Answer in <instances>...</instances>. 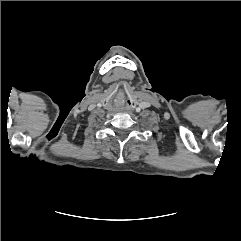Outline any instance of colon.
Segmentation results:
<instances>
[{"mask_svg": "<svg viewBox=\"0 0 241 241\" xmlns=\"http://www.w3.org/2000/svg\"><path fill=\"white\" fill-rule=\"evenodd\" d=\"M55 136H56L55 132L53 130H49V132L46 135V139L48 141H51L55 138Z\"/></svg>", "mask_w": 241, "mask_h": 241, "instance_id": "obj_1", "label": "colon"}]
</instances>
